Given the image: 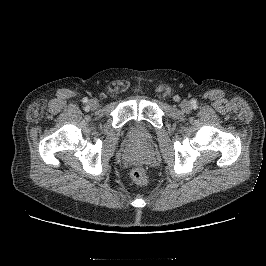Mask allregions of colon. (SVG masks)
<instances>
[{
    "mask_svg": "<svg viewBox=\"0 0 266 266\" xmlns=\"http://www.w3.org/2000/svg\"><path fill=\"white\" fill-rule=\"evenodd\" d=\"M130 176L132 180L141 186H144L148 182V175L143 167H136L131 170Z\"/></svg>",
    "mask_w": 266,
    "mask_h": 266,
    "instance_id": "1",
    "label": "colon"
}]
</instances>
